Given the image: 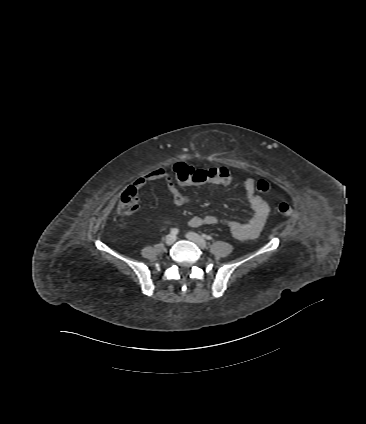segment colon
<instances>
[{"label":"colon","instance_id":"colon-1","mask_svg":"<svg viewBox=\"0 0 366 424\" xmlns=\"http://www.w3.org/2000/svg\"><path fill=\"white\" fill-rule=\"evenodd\" d=\"M217 169L219 168L200 169L184 162L176 163L173 168L176 180L182 185L211 183L218 176ZM229 174L230 171L221 170V175H219L220 180L224 183H229L232 179ZM256 186L259 191L264 193L269 192L271 189L270 184L263 179H259ZM137 208L138 203L135 189L129 188L121 195L118 213L120 215H130ZM278 212L284 217H289L292 214V208L289 204L283 202L279 204Z\"/></svg>","mask_w":366,"mask_h":424}]
</instances>
